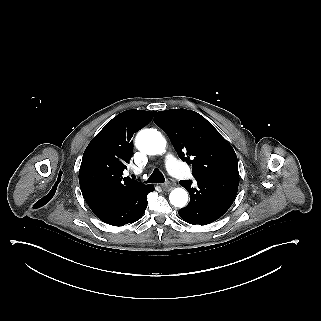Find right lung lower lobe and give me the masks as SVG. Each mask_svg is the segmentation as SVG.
Masks as SVG:
<instances>
[{"label": "right lung lower lobe", "instance_id": "98d812e1", "mask_svg": "<svg viewBox=\"0 0 321 321\" xmlns=\"http://www.w3.org/2000/svg\"><path fill=\"white\" fill-rule=\"evenodd\" d=\"M154 191L153 185H145L130 195L91 209L103 222L113 226H123L139 220L147 208V194Z\"/></svg>", "mask_w": 321, "mask_h": 321}]
</instances>
